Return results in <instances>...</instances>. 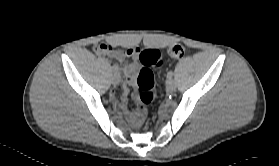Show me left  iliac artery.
Here are the masks:
<instances>
[{"instance_id": "left-iliac-artery-1", "label": "left iliac artery", "mask_w": 279, "mask_h": 166, "mask_svg": "<svg viewBox=\"0 0 279 166\" xmlns=\"http://www.w3.org/2000/svg\"><path fill=\"white\" fill-rule=\"evenodd\" d=\"M172 76H173V71H169V72L167 73V77H168V78H172Z\"/></svg>"}]
</instances>
